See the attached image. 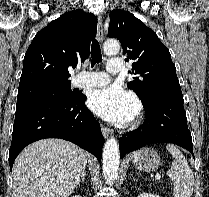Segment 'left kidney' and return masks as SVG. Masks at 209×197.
<instances>
[{"label": "left kidney", "instance_id": "5707ae66", "mask_svg": "<svg viewBox=\"0 0 209 197\" xmlns=\"http://www.w3.org/2000/svg\"><path fill=\"white\" fill-rule=\"evenodd\" d=\"M138 197H159V196L156 194H151V193H142L138 195Z\"/></svg>", "mask_w": 209, "mask_h": 197}]
</instances>
